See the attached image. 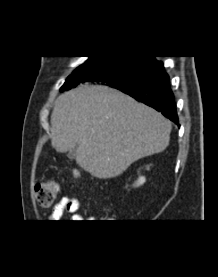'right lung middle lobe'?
Returning a JSON list of instances; mask_svg holds the SVG:
<instances>
[{
    "mask_svg": "<svg viewBox=\"0 0 218 277\" xmlns=\"http://www.w3.org/2000/svg\"><path fill=\"white\" fill-rule=\"evenodd\" d=\"M155 61L152 56H89L67 78L60 91L77 86L83 76L89 73L98 74L101 82L114 88L129 84L146 72Z\"/></svg>",
    "mask_w": 218,
    "mask_h": 277,
    "instance_id": "obj_1",
    "label": "right lung middle lobe"
}]
</instances>
